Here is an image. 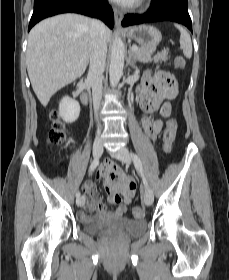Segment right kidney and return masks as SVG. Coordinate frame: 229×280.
<instances>
[{
	"label": "right kidney",
	"instance_id": "right-kidney-1",
	"mask_svg": "<svg viewBox=\"0 0 229 280\" xmlns=\"http://www.w3.org/2000/svg\"><path fill=\"white\" fill-rule=\"evenodd\" d=\"M80 114V105L79 103L65 96L59 105V115L67 123L75 122Z\"/></svg>",
	"mask_w": 229,
	"mask_h": 280
}]
</instances>
